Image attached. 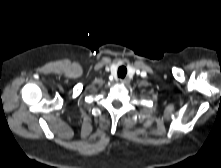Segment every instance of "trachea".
I'll return each mask as SVG.
<instances>
[{
  "mask_svg": "<svg viewBox=\"0 0 221 168\" xmlns=\"http://www.w3.org/2000/svg\"><path fill=\"white\" fill-rule=\"evenodd\" d=\"M126 74H127V69H126V67H125V66H120V67L118 68V77H119V78H124V77L126 76Z\"/></svg>",
  "mask_w": 221,
  "mask_h": 168,
  "instance_id": "3493384b",
  "label": "trachea"
}]
</instances>
